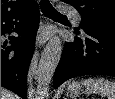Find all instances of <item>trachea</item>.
<instances>
[{
    "label": "trachea",
    "instance_id": "1",
    "mask_svg": "<svg viewBox=\"0 0 115 99\" xmlns=\"http://www.w3.org/2000/svg\"><path fill=\"white\" fill-rule=\"evenodd\" d=\"M40 8L45 16L47 17H64L65 15H62L59 13L48 0H41L40 1Z\"/></svg>",
    "mask_w": 115,
    "mask_h": 99
}]
</instances>
